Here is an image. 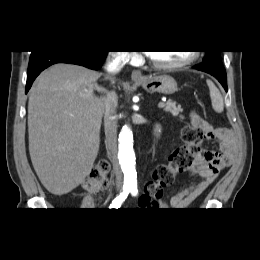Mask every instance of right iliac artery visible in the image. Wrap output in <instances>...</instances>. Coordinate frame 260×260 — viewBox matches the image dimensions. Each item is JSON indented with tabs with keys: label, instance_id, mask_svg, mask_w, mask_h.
<instances>
[{
	"label": "right iliac artery",
	"instance_id": "82829eb1",
	"mask_svg": "<svg viewBox=\"0 0 260 260\" xmlns=\"http://www.w3.org/2000/svg\"><path fill=\"white\" fill-rule=\"evenodd\" d=\"M130 192V187H123V191L111 203L110 208L118 209L127 198Z\"/></svg>",
	"mask_w": 260,
	"mask_h": 260
}]
</instances>
